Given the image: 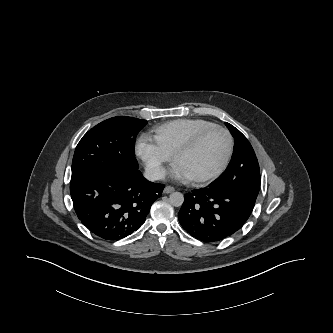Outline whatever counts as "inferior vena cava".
<instances>
[{
  "label": "inferior vena cava",
  "mask_w": 333,
  "mask_h": 333,
  "mask_svg": "<svg viewBox=\"0 0 333 333\" xmlns=\"http://www.w3.org/2000/svg\"><path fill=\"white\" fill-rule=\"evenodd\" d=\"M144 177L149 181H156L165 178V171L159 166H147L144 171Z\"/></svg>",
  "instance_id": "602c4592"
}]
</instances>
